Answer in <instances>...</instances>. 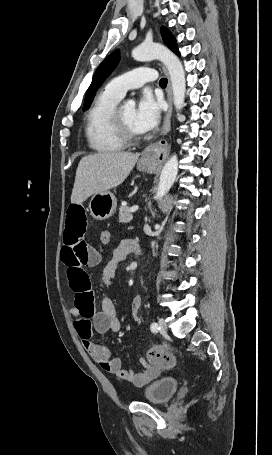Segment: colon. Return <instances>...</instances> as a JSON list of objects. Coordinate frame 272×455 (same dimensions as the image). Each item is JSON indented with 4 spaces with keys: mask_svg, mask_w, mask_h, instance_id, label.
I'll return each mask as SVG.
<instances>
[{
    "mask_svg": "<svg viewBox=\"0 0 272 455\" xmlns=\"http://www.w3.org/2000/svg\"><path fill=\"white\" fill-rule=\"evenodd\" d=\"M111 240V233L107 229L100 232V242L108 245ZM147 360L152 364L160 365L164 368H171L176 364L175 356L162 346H155L147 351Z\"/></svg>",
    "mask_w": 272,
    "mask_h": 455,
    "instance_id": "colon-1",
    "label": "colon"
}]
</instances>
